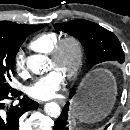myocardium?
<instances>
[{"instance_id": "f54148a6", "label": "myocardium", "mask_w": 130, "mask_h": 130, "mask_svg": "<svg viewBox=\"0 0 130 130\" xmlns=\"http://www.w3.org/2000/svg\"><path fill=\"white\" fill-rule=\"evenodd\" d=\"M67 46H72L75 51L74 62L64 73L65 77L72 79L76 77L84 63L85 49L80 38L75 35H67L60 38L49 53L51 61L58 65L63 57L64 50Z\"/></svg>"}]
</instances>
